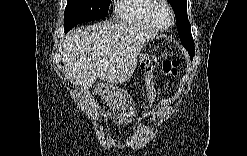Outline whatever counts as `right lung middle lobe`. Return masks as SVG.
<instances>
[{"instance_id": "1", "label": "right lung middle lobe", "mask_w": 247, "mask_h": 156, "mask_svg": "<svg viewBox=\"0 0 247 156\" xmlns=\"http://www.w3.org/2000/svg\"><path fill=\"white\" fill-rule=\"evenodd\" d=\"M109 4L110 0H67L64 14L65 32L76 24L107 16Z\"/></svg>"}]
</instances>
